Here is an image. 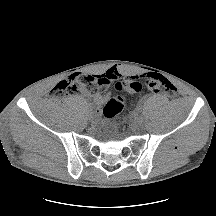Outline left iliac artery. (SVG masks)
<instances>
[{
  "mask_svg": "<svg viewBox=\"0 0 216 216\" xmlns=\"http://www.w3.org/2000/svg\"><path fill=\"white\" fill-rule=\"evenodd\" d=\"M141 109H142V107L139 105V106L137 107V111L139 112Z\"/></svg>",
  "mask_w": 216,
  "mask_h": 216,
  "instance_id": "1",
  "label": "left iliac artery"
}]
</instances>
